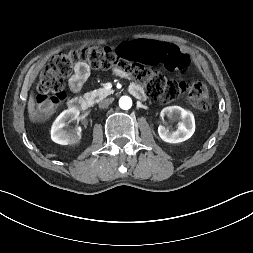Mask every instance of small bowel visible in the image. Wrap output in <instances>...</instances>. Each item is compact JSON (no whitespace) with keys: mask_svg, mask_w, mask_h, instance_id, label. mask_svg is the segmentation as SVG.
I'll list each match as a JSON object with an SVG mask.
<instances>
[{"mask_svg":"<svg viewBox=\"0 0 253 253\" xmlns=\"http://www.w3.org/2000/svg\"><path fill=\"white\" fill-rule=\"evenodd\" d=\"M147 41V40H138ZM173 71V70H170ZM114 73L120 77H126L127 73L120 68H115ZM90 74L89 67L83 62L76 63L73 69V74L69 79V87L72 91L78 92L82 89ZM137 86L133 85L132 87ZM139 87V86H138Z\"/></svg>","mask_w":253,"mask_h":253,"instance_id":"1","label":"small bowel"}]
</instances>
